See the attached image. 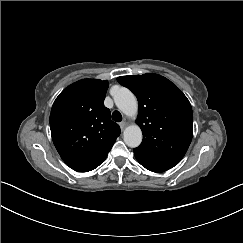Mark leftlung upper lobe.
<instances>
[{
    "label": "left lung upper lobe",
    "mask_w": 243,
    "mask_h": 243,
    "mask_svg": "<svg viewBox=\"0 0 243 243\" xmlns=\"http://www.w3.org/2000/svg\"><path fill=\"white\" fill-rule=\"evenodd\" d=\"M117 81L138 99L136 123L143 140L134 149L135 156L166 169L177 165L193 136V114L187 97L158 74L121 76Z\"/></svg>",
    "instance_id": "5c2ea615"
}]
</instances>
